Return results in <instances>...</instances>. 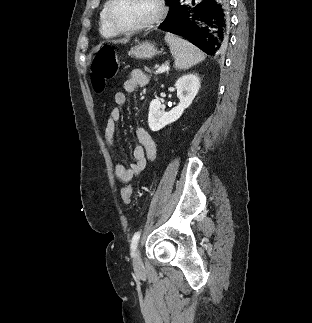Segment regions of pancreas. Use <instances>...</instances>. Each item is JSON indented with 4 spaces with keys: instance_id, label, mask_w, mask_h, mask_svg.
Listing matches in <instances>:
<instances>
[{
    "instance_id": "cf45deb5",
    "label": "pancreas",
    "mask_w": 312,
    "mask_h": 323,
    "mask_svg": "<svg viewBox=\"0 0 312 323\" xmlns=\"http://www.w3.org/2000/svg\"><path fill=\"white\" fill-rule=\"evenodd\" d=\"M145 72H149V74H152V70L150 68H144Z\"/></svg>"
}]
</instances>
